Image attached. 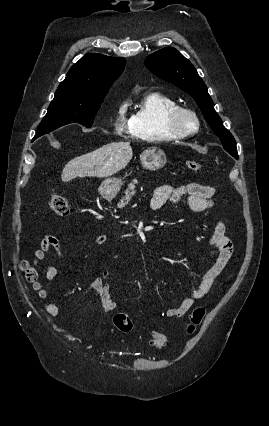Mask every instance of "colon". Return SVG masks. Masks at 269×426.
I'll use <instances>...</instances> for the list:
<instances>
[{"instance_id": "5ec220e1", "label": "colon", "mask_w": 269, "mask_h": 426, "mask_svg": "<svg viewBox=\"0 0 269 426\" xmlns=\"http://www.w3.org/2000/svg\"><path fill=\"white\" fill-rule=\"evenodd\" d=\"M187 167L193 172L201 171V164L196 160H188ZM49 206L52 212L59 217H68L71 214L69 200L66 196L61 194H53L50 197ZM22 272L28 282H34L38 278L37 271L29 265L28 262L22 264ZM205 309L203 307L196 308L192 313L191 324L188 331L191 333L195 327L199 325L204 317ZM115 327L121 332H131L133 329L132 319L123 312H118L113 317ZM167 338L164 334L155 332L150 340V344L156 348H162L166 345Z\"/></svg>"}]
</instances>
